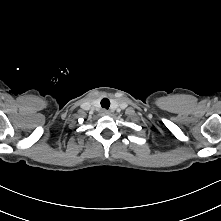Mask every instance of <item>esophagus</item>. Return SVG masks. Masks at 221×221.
I'll return each mask as SVG.
<instances>
[{
    "label": "esophagus",
    "instance_id": "34e87169",
    "mask_svg": "<svg viewBox=\"0 0 221 221\" xmlns=\"http://www.w3.org/2000/svg\"><path fill=\"white\" fill-rule=\"evenodd\" d=\"M110 113H109V111L108 110H106V109H103L102 110V115H109Z\"/></svg>",
    "mask_w": 221,
    "mask_h": 221
}]
</instances>
